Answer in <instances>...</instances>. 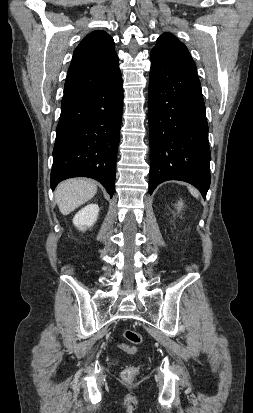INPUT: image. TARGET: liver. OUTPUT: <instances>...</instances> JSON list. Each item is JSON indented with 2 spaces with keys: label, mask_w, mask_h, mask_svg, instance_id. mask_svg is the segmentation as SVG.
I'll list each match as a JSON object with an SVG mask.
<instances>
[{
  "label": "liver",
  "mask_w": 253,
  "mask_h": 413,
  "mask_svg": "<svg viewBox=\"0 0 253 413\" xmlns=\"http://www.w3.org/2000/svg\"><path fill=\"white\" fill-rule=\"evenodd\" d=\"M97 192L94 181L82 178L65 180L55 190V199L60 212L68 215L89 201Z\"/></svg>",
  "instance_id": "6515ba94"
}]
</instances>
